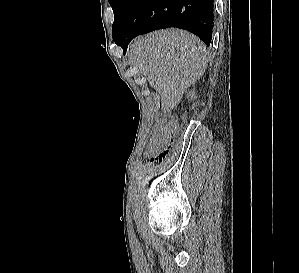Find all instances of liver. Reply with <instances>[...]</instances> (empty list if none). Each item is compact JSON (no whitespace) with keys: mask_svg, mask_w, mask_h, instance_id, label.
Returning <instances> with one entry per match:
<instances>
[{"mask_svg":"<svg viewBox=\"0 0 299 273\" xmlns=\"http://www.w3.org/2000/svg\"><path fill=\"white\" fill-rule=\"evenodd\" d=\"M129 60L160 94L166 111L177 106L207 68L205 45L195 35L180 29L138 37L129 47Z\"/></svg>","mask_w":299,"mask_h":273,"instance_id":"obj_1","label":"liver"}]
</instances>
